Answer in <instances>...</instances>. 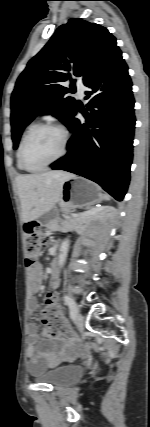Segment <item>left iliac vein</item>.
Instances as JSON below:
<instances>
[{
    "label": "left iliac vein",
    "mask_w": 150,
    "mask_h": 427,
    "mask_svg": "<svg viewBox=\"0 0 150 427\" xmlns=\"http://www.w3.org/2000/svg\"><path fill=\"white\" fill-rule=\"evenodd\" d=\"M76 324L78 329L82 331L84 328V317L78 310L76 314Z\"/></svg>",
    "instance_id": "1"
}]
</instances>
